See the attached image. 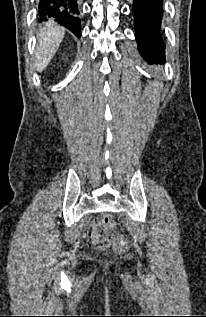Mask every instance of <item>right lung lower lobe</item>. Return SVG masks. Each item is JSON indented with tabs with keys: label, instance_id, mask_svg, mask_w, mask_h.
Instances as JSON below:
<instances>
[{
	"label": "right lung lower lobe",
	"instance_id": "obj_1",
	"mask_svg": "<svg viewBox=\"0 0 206 317\" xmlns=\"http://www.w3.org/2000/svg\"><path fill=\"white\" fill-rule=\"evenodd\" d=\"M39 21L52 17L77 37L81 34L80 9L77 0H40Z\"/></svg>",
	"mask_w": 206,
	"mask_h": 317
}]
</instances>
